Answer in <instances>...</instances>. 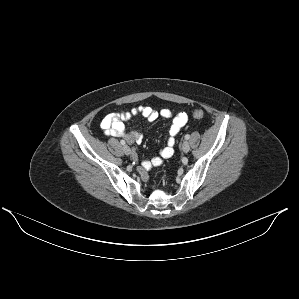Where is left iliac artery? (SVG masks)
Segmentation results:
<instances>
[{
  "label": "left iliac artery",
  "instance_id": "obj_1",
  "mask_svg": "<svg viewBox=\"0 0 299 299\" xmlns=\"http://www.w3.org/2000/svg\"><path fill=\"white\" fill-rule=\"evenodd\" d=\"M190 138V135H185V139L188 140Z\"/></svg>",
  "mask_w": 299,
  "mask_h": 299
}]
</instances>
